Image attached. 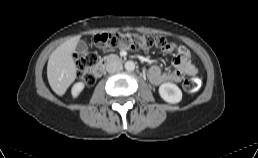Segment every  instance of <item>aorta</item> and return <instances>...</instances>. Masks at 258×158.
I'll list each match as a JSON object with an SVG mask.
<instances>
[{"label": "aorta", "mask_w": 258, "mask_h": 158, "mask_svg": "<svg viewBox=\"0 0 258 158\" xmlns=\"http://www.w3.org/2000/svg\"><path fill=\"white\" fill-rule=\"evenodd\" d=\"M124 66L127 71H133L135 69V64L133 61H127Z\"/></svg>", "instance_id": "aorta-1"}]
</instances>
